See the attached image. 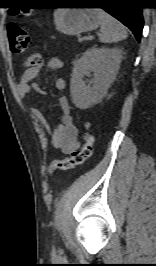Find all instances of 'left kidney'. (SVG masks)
<instances>
[{
    "mask_svg": "<svg viewBox=\"0 0 156 266\" xmlns=\"http://www.w3.org/2000/svg\"><path fill=\"white\" fill-rule=\"evenodd\" d=\"M122 51L118 48H95L85 51L74 64L70 92L72 101L79 109L97 104L107 93L121 63ZM93 72L92 86H86L84 75Z\"/></svg>",
    "mask_w": 156,
    "mask_h": 266,
    "instance_id": "obj_1",
    "label": "left kidney"
}]
</instances>
